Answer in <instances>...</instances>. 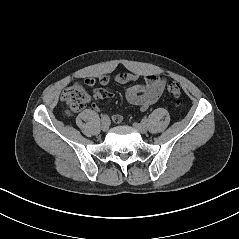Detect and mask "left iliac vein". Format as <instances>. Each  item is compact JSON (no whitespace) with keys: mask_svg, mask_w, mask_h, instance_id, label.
Returning <instances> with one entry per match:
<instances>
[{"mask_svg":"<svg viewBox=\"0 0 239 239\" xmlns=\"http://www.w3.org/2000/svg\"><path fill=\"white\" fill-rule=\"evenodd\" d=\"M133 127L141 134L147 133V128L144 124L141 123H133Z\"/></svg>","mask_w":239,"mask_h":239,"instance_id":"4c4485c4","label":"left iliac vein"}]
</instances>
